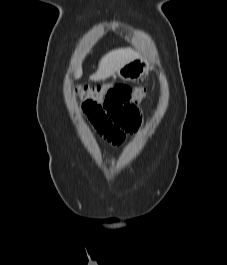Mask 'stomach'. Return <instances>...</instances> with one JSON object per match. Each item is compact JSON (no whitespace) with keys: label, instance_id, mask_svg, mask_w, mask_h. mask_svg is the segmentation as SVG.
<instances>
[{"label":"stomach","instance_id":"stomach-1","mask_svg":"<svg viewBox=\"0 0 227 265\" xmlns=\"http://www.w3.org/2000/svg\"><path fill=\"white\" fill-rule=\"evenodd\" d=\"M151 70L149 60L138 57L127 62L117 72L116 77L123 80H136Z\"/></svg>","mask_w":227,"mask_h":265}]
</instances>
